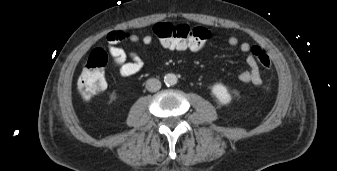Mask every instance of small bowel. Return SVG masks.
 <instances>
[{"mask_svg": "<svg viewBox=\"0 0 337 171\" xmlns=\"http://www.w3.org/2000/svg\"><path fill=\"white\" fill-rule=\"evenodd\" d=\"M107 40L109 43L108 52L111 57L112 67L120 77L127 78L134 76L143 69V61L136 52L126 51L116 44L122 40H127L132 44L142 43L145 46H150L153 44V37L151 35L140 37L134 33L114 31L108 34ZM227 43L231 47L239 46L240 51L247 54L246 63L248 69L240 73V81L243 83H251L255 86L261 85V74L256 59L250 54V44L246 42L240 43L238 38L234 36L229 37Z\"/></svg>", "mask_w": 337, "mask_h": 171, "instance_id": "c3829d8e", "label": "small bowel"}]
</instances>
